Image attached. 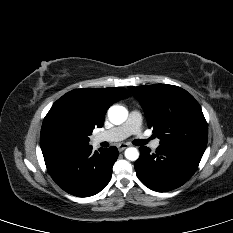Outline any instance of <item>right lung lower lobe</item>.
<instances>
[{"mask_svg": "<svg viewBox=\"0 0 233 233\" xmlns=\"http://www.w3.org/2000/svg\"><path fill=\"white\" fill-rule=\"evenodd\" d=\"M47 170L58 186L69 194L89 197L100 192L110 181L118 158L116 147L93 151L86 147L42 149Z\"/></svg>", "mask_w": 233, "mask_h": 233, "instance_id": "1", "label": "right lung lower lobe"}]
</instances>
